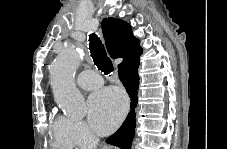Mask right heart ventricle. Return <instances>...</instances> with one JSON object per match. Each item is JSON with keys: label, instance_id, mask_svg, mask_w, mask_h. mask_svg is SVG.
Returning <instances> with one entry per match:
<instances>
[{"label": "right heart ventricle", "instance_id": "1", "mask_svg": "<svg viewBox=\"0 0 227 149\" xmlns=\"http://www.w3.org/2000/svg\"><path fill=\"white\" fill-rule=\"evenodd\" d=\"M51 134L53 137V143L57 146L70 147L73 146L68 132L66 120L64 117H55L51 123Z\"/></svg>", "mask_w": 227, "mask_h": 149}]
</instances>
